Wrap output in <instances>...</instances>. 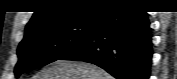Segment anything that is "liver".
I'll use <instances>...</instances> for the list:
<instances>
[{
    "label": "liver",
    "mask_w": 177,
    "mask_h": 79,
    "mask_svg": "<svg viewBox=\"0 0 177 79\" xmlns=\"http://www.w3.org/2000/svg\"><path fill=\"white\" fill-rule=\"evenodd\" d=\"M33 79H112L103 69L82 61L57 60L44 67Z\"/></svg>",
    "instance_id": "1"
}]
</instances>
